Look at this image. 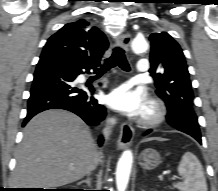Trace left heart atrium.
Listing matches in <instances>:
<instances>
[{
  "label": "left heart atrium",
  "mask_w": 218,
  "mask_h": 191,
  "mask_svg": "<svg viewBox=\"0 0 218 191\" xmlns=\"http://www.w3.org/2000/svg\"><path fill=\"white\" fill-rule=\"evenodd\" d=\"M110 107L130 116H141L148 105V97L143 88H133L122 84L107 97Z\"/></svg>",
  "instance_id": "obj_1"
}]
</instances>
